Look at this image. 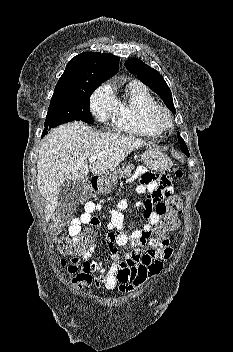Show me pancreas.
I'll list each match as a JSON object with an SVG mask.
<instances>
[{"label": "pancreas", "instance_id": "1", "mask_svg": "<svg viewBox=\"0 0 233 352\" xmlns=\"http://www.w3.org/2000/svg\"><path fill=\"white\" fill-rule=\"evenodd\" d=\"M134 169V166L133 165H126V166H123L121 169H119V178H126V177H129L131 175V172L132 170Z\"/></svg>", "mask_w": 233, "mask_h": 352}]
</instances>
